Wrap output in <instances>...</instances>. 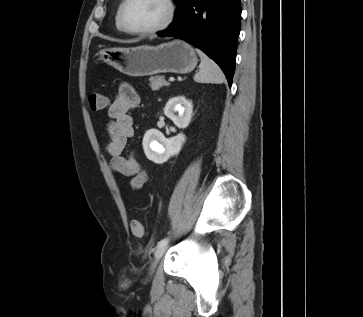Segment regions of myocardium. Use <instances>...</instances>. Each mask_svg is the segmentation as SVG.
Masks as SVG:
<instances>
[{
    "mask_svg": "<svg viewBox=\"0 0 363 317\" xmlns=\"http://www.w3.org/2000/svg\"><path fill=\"white\" fill-rule=\"evenodd\" d=\"M130 2V0H123L119 6V10H118V22L119 25L121 27V29L128 33V34H132V35H153V34H157L160 33L162 31H164L165 29H167L175 16V4L173 2V0H163L165 6H166V16L164 18V20L151 28H147V29H131L127 26L126 22H125V9L126 6L128 5V3Z\"/></svg>",
    "mask_w": 363,
    "mask_h": 317,
    "instance_id": "f54148a6",
    "label": "myocardium"
}]
</instances>
